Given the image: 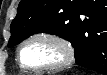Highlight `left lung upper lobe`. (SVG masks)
Masks as SVG:
<instances>
[{"label":"left lung upper lobe","mask_w":107,"mask_h":75,"mask_svg":"<svg viewBox=\"0 0 107 75\" xmlns=\"http://www.w3.org/2000/svg\"><path fill=\"white\" fill-rule=\"evenodd\" d=\"M95 10L96 6L88 4L87 0H21L17 16L11 23L8 47L35 33L47 32L69 40L74 47L75 58H79L84 54L83 43L87 38L85 35L81 37L83 24ZM104 33L107 36V26L92 23L88 40Z\"/></svg>","instance_id":"5c2ea615"}]
</instances>
